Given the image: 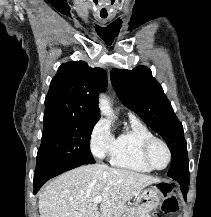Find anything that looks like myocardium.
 <instances>
[{
    "mask_svg": "<svg viewBox=\"0 0 211 217\" xmlns=\"http://www.w3.org/2000/svg\"><path fill=\"white\" fill-rule=\"evenodd\" d=\"M157 143L162 144L168 153L167 164L161 168L155 166L153 164V162L151 161V157H150L151 150H152L153 146ZM141 153H142V159H143L144 163L152 170H156V171L164 170L170 165V163L172 161V151H171L170 146L168 145V143L164 139H161L158 137H152V138L146 140L142 146Z\"/></svg>",
    "mask_w": 211,
    "mask_h": 217,
    "instance_id": "1",
    "label": "myocardium"
}]
</instances>
